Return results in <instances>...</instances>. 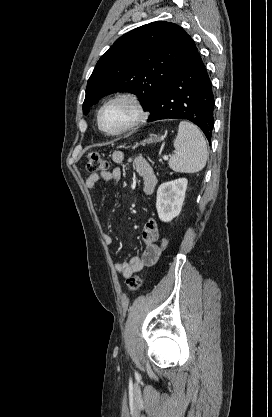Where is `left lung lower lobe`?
<instances>
[{
    "instance_id": "0a47b994",
    "label": "left lung lower lobe",
    "mask_w": 272,
    "mask_h": 417,
    "mask_svg": "<svg viewBox=\"0 0 272 417\" xmlns=\"http://www.w3.org/2000/svg\"><path fill=\"white\" fill-rule=\"evenodd\" d=\"M212 83L198 52L176 72L159 94L148 122L186 119L211 139L214 124Z\"/></svg>"
}]
</instances>
